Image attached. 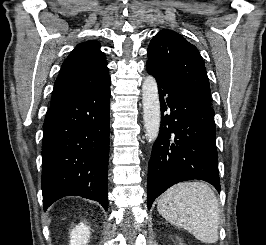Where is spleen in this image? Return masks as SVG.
<instances>
[{"label":"spleen","instance_id":"1","mask_svg":"<svg viewBox=\"0 0 266 245\" xmlns=\"http://www.w3.org/2000/svg\"><path fill=\"white\" fill-rule=\"evenodd\" d=\"M157 209L168 223L186 229L201 243H217L220 209L214 191L206 183L174 185L160 197Z\"/></svg>","mask_w":266,"mask_h":245}]
</instances>
